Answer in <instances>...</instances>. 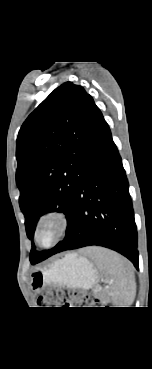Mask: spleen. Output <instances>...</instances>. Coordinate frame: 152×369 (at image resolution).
<instances>
[{"label": "spleen", "instance_id": "3e777b00", "mask_svg": "<svg viewBox=\"0 0 152 369\" xmlns=\"http://www.w3.org/2000/svg\"><path fill=\"white\" fill-rule=\"evenodd\" d=\"M98 267L111 278L110 296L120 303H129L131 290L134 288V279L131 265L119 254L95 248L92 253Z\"/></svg>", "mask_w": 152, "mask_h": 369}]
</instances>
